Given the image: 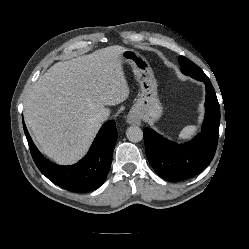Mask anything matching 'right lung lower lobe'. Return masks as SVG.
<instances>
[{
    "label": "right lung lower lobe",
    "instance_id": "98d812e1",
    "mask_svg": "<svg viewBox=\"0 0 249 249\" xmlns=\"http://www.w3.org/2000/svg\"><path fill=\"white\" fill-rule=\"evenodd\" d=\"M23 127L35 164L53 183L68 191L88 192L105 182L118 136L113 120L102 126L87 155L71 166L56 165L44 158L34 145L24 123Z\"/></svg>",
    "mask_w": 249,
    "mask_h": 249
}]
</instances>
